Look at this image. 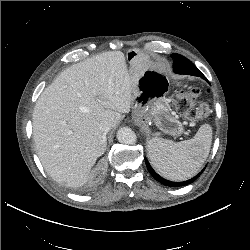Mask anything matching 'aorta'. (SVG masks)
<instances>
[{
  "mask_svg": "<svg viewBox=\"0 0 250 250\" xmlns=\"http://www.w3.org/2000/svg\"><path fill=\"white\" fill-rule=\"evenodd\" d=\"M117 139L123 144H134L137 140V137L131 128L122 127L117 132Z\"/></svg>",
  "mask_w": 250,
  "mask_h": 250,
  "instance_id": "762f6f07",
  "label": "aorta"
}]
</instances>
